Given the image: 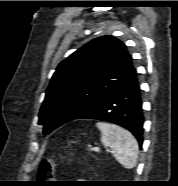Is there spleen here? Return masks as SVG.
I'll list each match as a JSON object with an SVG mask.
<instances>
[{
	"instance_id": "3e777b00",
	"label": "spleen",
	"mask_w": 178,
	"mask_h": 186,
	"mask_svg": "<svg viewBox=\"0 0 178 186\" xmlns=\"http://www.w3.org/2000/svg\"><path fill=\"white\" fill-rule=\"evenodd\" d=\"M101 131V142L109 147L115 159L126 169H132L137 165L138 143L134 136L120 126L98 122Z\"/></svg>"
}]
</instances>
